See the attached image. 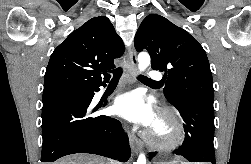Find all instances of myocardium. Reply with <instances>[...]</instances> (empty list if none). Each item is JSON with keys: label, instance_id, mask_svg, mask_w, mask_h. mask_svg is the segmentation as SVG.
I'll list each match as a JSON object with an SVG mask.
<instances>
[{"label": "myocardium", "instance_id": "1", "mask_svg": "<svg viewBox=\"0 0 251 164\" xmlns=\"http://www.w3.org/2000/svg\"><path fill=\"white\" fill-rule=\"evenodd\" d=\"M158 122L165 125L167 134L165 137L160 138L157 136L155 129H153L146 138L148 145L159 151L177 148L184 139V128L180 119L171 110L164 109L159 115Z\"/></svg>", "mask_w": 251, "mask_h": 164}]
</instances>
